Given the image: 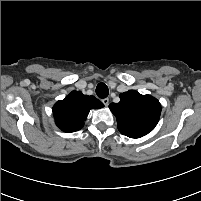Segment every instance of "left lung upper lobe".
<instances>
[{
  "instance_id": "5c2ea615",
  "label": "left lung upper lobe",
  "mask_w": 201,
  "mask_h": 201,
  "mask_svg": "<svg viewBox=\"0 0 201 201\" xmlns=\"http://www.w3.org/2000/svg\"><path fill=\"white\" fill-rule=\"evenodd\" d=\"M119 97L120 102L111 103L109 108L116 116L122 134L140 138L155 128L161 114V104L156 98L135 90L121 93Z\"/></svg>"
}]
</instances>
